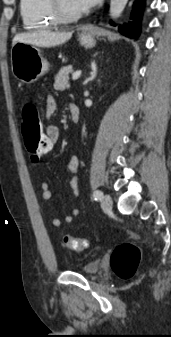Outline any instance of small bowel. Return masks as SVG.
<instances>
[{
    "label": "small bowel",
    "instance_id": "small-bowel-1",
    "mask_svg": "<svg viewBox=\"0 0 171 337\" xmlns=\"http://www.w3.org/2000/svg\"><path fill=\"white\" fill-rule=\"evenodd\" d=\"M58 110V103L53 97H49L46 101L45 112L47 117H51ZM45 134L48 140H52V146L56 144L60 138V130L56 125H48L45 129ZM81 161L78 156H71L67 162V169L70 173L69 187L75 196L79 195V184L77 178V171L80 167ZM42 198L45 201L51 199V190L47 182L41 183ZM80 214V210L77 207L71 209V211L65 216L66 223H71ZM51 224L55 228H59L62 224L61 220L57 217L51 218Z\"/></svg>",
    "mask_w": 171,
    "mask_h": 337
}]
</instances>
